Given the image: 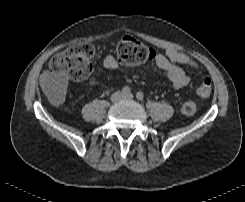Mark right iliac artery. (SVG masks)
Listing matches in <instances>:
<instances>
[{"mask_svg":"<svg viewBox=\"0 0 245 202\" xmlns=\"http://www.w3.org/2000/svg\"><path fill=\"white\" fill-rule=\"evenodd\" d=\"M122 93H123L124 95H129V94H131V89H130V87H129V86H124V87L122 88Z\"/></svg>","mask_w":245,"mask_h":202,"instance_id":"obj_1","label":"right iliac artery"}]
</instances>
